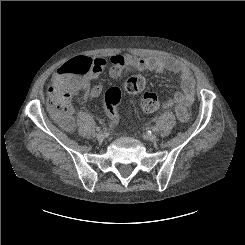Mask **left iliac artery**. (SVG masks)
<instances>
[{"mask_svg":"<svg viewBox=\"0 0 245 245\" xmlns=\"http://www.w3.org/2000/svg\"><path fill=\"white\" fill-rule=\"evenodd\" d=\"M155 131H157V127L152 128V132H155ZM149 132L151 133V131H149Z\"/></svg>","mask_w":245,"mask_h":245,"instance_id":"1","label":"left iliac artery"}]
</instances>
